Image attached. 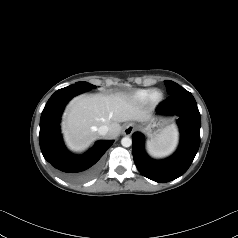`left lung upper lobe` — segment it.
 Listing matches in <instances>:
<instances>
[{"instance_id": "obj_1", "label": "left lung upper lobe", "mask_w": 238, "mask_h": 238, "mask_svg": "<svg viewBox=\"0 0 238 238\" xmlns=\"http://www.w3.org/2000/svg\"><path fill=\"white\" fill-rule=\"evenodd\" d=\"M165 86L167 88V92L169 95L176 93L177 91H179L180 89H182V87L180 85H178L177 83L170 81V80H165L164 81Z\"/></svg>"}]
</instances>
